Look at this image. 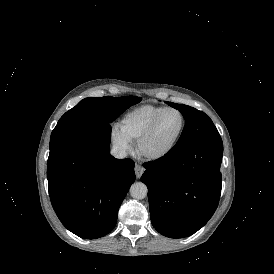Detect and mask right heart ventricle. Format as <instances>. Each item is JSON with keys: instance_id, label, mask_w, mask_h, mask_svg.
<instances>
[{"instance_id": "obj_1", "label": "right heart ventricle", "mask_w": 274, "mask_h": 274, "mask_svg": "<svg viewBox=\"0 0 274 274\" xmlns=\"http://www.w3.org/2000/svg\"><path fill=\"white\" fill-rule=\"evenodd\" d=\"M164 109L162 106L144 104L126 111L117 124L121 134L135 142L148 124Z\"/></svg>"}]
</instances>
